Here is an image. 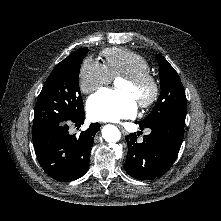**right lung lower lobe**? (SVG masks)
Here are the masks:
<instances>
[{
    "label": "right lung lower lobe",
    "mask_w": 221,
    "mask_h": 221,
    "mask_svg": "<svg viewBox=\"0 0 221 221\" xmlns=\"http://www.w3.org/2000/svg\"><path fill=\"white\" fill-rule=\"evenodd\" d=\"M83 122L84 113L68 121L54 123L32 136L38 161L51 178L68 182L80 178L87 171L94 136L100 124H91L77 137L69 134L70 123L80 125Z\"/></svg>",
    "instance_id": "1"
}]
</instances>
